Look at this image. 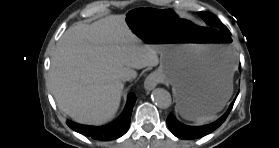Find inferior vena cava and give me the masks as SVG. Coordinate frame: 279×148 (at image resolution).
Listing matches in <instances>:
<instances>
[{"label": "inferior vena cava", "mask_w": 279, "mask_h": 148, "mask_svg": "<svg viewBox=\"0 0 279 148\" xmlns=\"http://www.w3.org/2000/svg\"><path fill=\"white\" fill-rule=\"evenodd\" d=\"M121 81H129L131 79V76L128 73H124L120 76Z\"/></svg>", "instance_id": "1"}]
</instances>
